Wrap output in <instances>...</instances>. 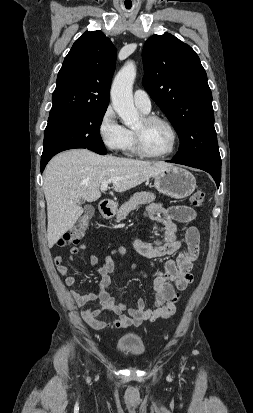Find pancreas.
<instances>
[{
    "label": "pancreas",
    "instance_id": "cf45deb5",
    "mask_svg": "<svg viewBox=\"0 0 253 413\" xmlns=\"http://www.w3.org/2000/svg\"><path fill=\"white\" fill-rule=\"evenodd\" d=\"M155 200V195L151 192H137L127 202H125L117 211L116 221L120 222L129 215L131 211L139 205L148 204Z\"/></svg>",
    "mask_w": 253,
    "mask_h": 413
}]
</instances>
